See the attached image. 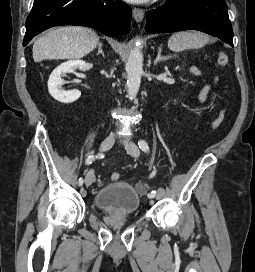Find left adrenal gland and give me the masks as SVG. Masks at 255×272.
I'll use <instances>...</instances> for the list:
<instances>
[{"mask_svg":"<svg viewBox=\"0 0 255 272\" xmlns=\"http://www.w3.org/2000/svg\"><path fill=\"white\" fill-rule=\"evenodd\" d=\"M161 52H162V46L158 48L157 56L154 60V65H157L158 62L166 61L171 58V55L162 56Z\"/></svg>","mask_w":255,"mask_h":272,"instance_id":"a2214340","label":"left adrenal gland"}]
</instances>
